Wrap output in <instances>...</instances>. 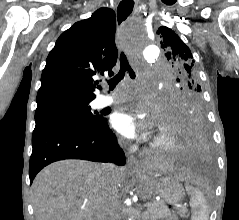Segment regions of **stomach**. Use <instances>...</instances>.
Segmentation results:
<instances>
[{"mask_svg":"<svg viewBox=\"0 0 239 220\" xmlns=\"http://www.w3.org/2000/svg\"><path fill=\"white\" fill-rule=\"evenodd\" d=\"M140 186H151V191L168 203H178L185 195L184 188L177 178H154V183H140ZM144 192V191H140ZM166 210H181V205H166ZM184 212H164V220H182Z\"/></svg>","mask_w":239,"mask_h":220,"instance_id":"0dacf381","label":"stomach"}]
</instances>
